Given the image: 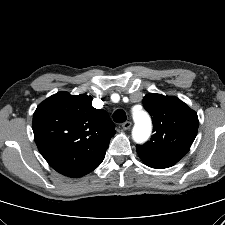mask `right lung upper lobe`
I'll use <instances>...</instances> for the list:
<instances>
[{
	"mask_svg": "<svg viewBox=\"0 0 225 225\" xmlns=\"http://www.w3.org/2000/svg\"><path fill=\"white\" fill-rule=\"evenodd\" d=\"M92 97L58 92L36 109L35 142L57 172L82 177L98 167L115 134L114 123L103 109L92 107Z\"/></svg>",
	"mask_w": 225,
	"mask_h": 225,
	"instance_id": "right-lung-upper-lobe-1",
	"label": "right lung upper lobe"
}]
</instances>
